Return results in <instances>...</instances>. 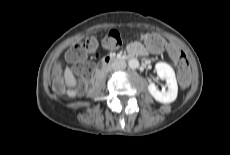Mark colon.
Returning a JSON list of instances; mask_svg holds the SVG:
<instances>
[{
	"label": "colon",
	"instance_id": "colon-1",
	"mask_svg": "<svg viewBox=\"0 0 230 155\" xmlns=\"http://www.w3.org/2000/svg\"><path fill=\"white\" fill-rule=\"evenodd\" d=\"M146 44L154 47H164L165 40L155 34H146L143 36ZM103 45L107 49H117L122 45V38L118 31L112 30L108 32L103 38ZM97 48V41L93 37L84 39L83 41L74 44L66 52L68 61L74 64L75 72L83 77L89 78L94 72V64L87 60L88 53H92ZM169 55L176 62L179 67V78L177 82V89L184 91L191 81V68L189 64V56L184 54L179 48L168 46ZM56 88L58 91L64 90L62 80L55 76Z\"/></svg>",
	"mask_w": 230,
	"mask_h": 155
}]
</instances>
